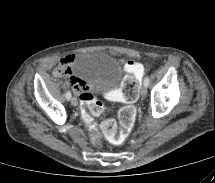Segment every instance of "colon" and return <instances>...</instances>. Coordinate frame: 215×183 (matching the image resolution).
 I'll return each mask as SVG.
<instances>
[{
  "label": "colon",
  "mask_w": 215,
  "mask_h": 183,
  "mask_svg": "<svg viewBox=\"0 0 215 183\" xmlns=\"http://www.w3.org/2000/svg\"><path fill=\"white\" fill-rule=\"evenodd\" d=\"M68 70L64 67L57 68L58 75L67 74ZM139 79L137 77H127L122 83V98L126 102L118 113L120 126L126 131L135 123L136 109L132 105L138 98ZM83 109V118L88 126L95 132L96 129L92 123L91 116H98L103 113L104 106L101 102L95 100L91 94L84 93L80 96ZM100 130L104 137L113 144H121L125 139V132L118 130V124L113 118H106L100 124ZM96 140V136H94Z\"/></svg>",
  "instance_id": "5ec220e1"
}]
</instances>
